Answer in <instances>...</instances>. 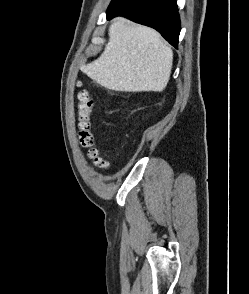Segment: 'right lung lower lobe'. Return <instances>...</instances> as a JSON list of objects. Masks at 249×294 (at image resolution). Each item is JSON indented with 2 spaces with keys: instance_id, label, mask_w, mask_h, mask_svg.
Segmentation results:
<instances>
[{
  "instance_id": "1",
  "label": "right lung lower lobe",
  "mask_w": 249,
  "mask_h": 294,
  "mask_svg": "<svg viewBox=\"0 0 249 294\" xmlns=\"http://www.w3.org/2000/svg\"><path fill=\"white\" fill-rule=\"evenodd\" d=\"M119 15L156 29L177 48L181 27L175 0H124L107 11V19Z\"/></svg>"
}]
</instances>
